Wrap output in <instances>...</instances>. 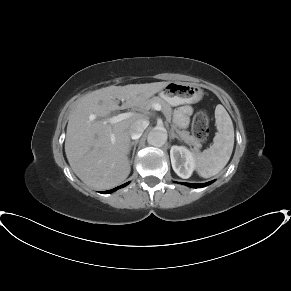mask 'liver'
<instances>
[{"label": "liver", "instance_id": "liver-1", "mask_svg": "<svg viewBox=\"0 0 291 291\" xmlns=\"http://www.w3.org/2000/svg\"><path fill=\"white\" fill-rule=\"evenodd\" d=\"M169 82L109 86L82 97L67 125L65 153L73 172L88 186L99 190L119 185L129 175V127L145 116L134 113L115 123L107 122L118 109L142 107ZM123 102L118 105V100ZM114 136V142L111 136Z\"/></svg>", "mask_w": 291, "mask_h": 291}]
</instances>
